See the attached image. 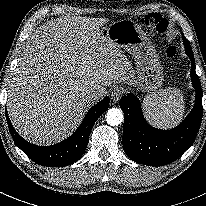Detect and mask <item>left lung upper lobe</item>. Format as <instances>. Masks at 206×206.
I'll return each mask as SVG.
<instances>
[{
  "mask_svg": "<svg viewBox=\"0 0 206 206\" xmlns=\"http://www.w3.org/2000/svg\"><path fill=\"white\" fill-rule=\"evenodd\" d=\"M185 47H187L188 49H191L190 43L189 41L186 39V41L184 42Z\"/></svg>",
  "mask_w": 206,
  "mask_h": 206,
  "instance_id": "5c2ea615",
  "label": "left lung upper lobe"
}]
</instances>
